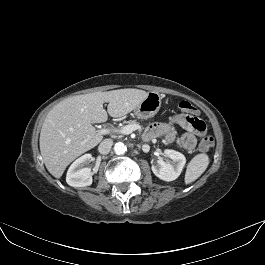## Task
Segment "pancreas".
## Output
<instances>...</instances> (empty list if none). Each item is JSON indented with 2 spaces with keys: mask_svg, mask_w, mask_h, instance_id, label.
Returning a JSON list of instances; mask_svg holds the SVG:
<instances>
[{
  "mask_svg": "<svg viewBox=\"0 0 265 265\" xmlns=\"http://www.w3.org/2000/svg\"><path fill=\"white\" fill-rule=\"evenodd\" d=\"M125 123H128L129 125H134V124H136V121H134V120H133V121H126ZM121 128H122V127H121ZM121 128H120V129H121Z\"/></svg>",
  "mask_w": 265,
  "mask_h": 265,
  "instance_id": "pancreas-1",
  "label": "pancreas"
}]
</instances>
